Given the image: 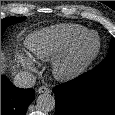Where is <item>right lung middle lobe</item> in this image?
Listing matches in <instances>:
<instances>
[{
	"label": "right lung middle lobe",
	"mask_w": 115,
	"mask_h": 115,
	"mask_svg": "<svg viewBox=\"0 0 115 115\" xmlns=\"http://www.w3.org/2000/svg\"><path fill=\"white\" fill-rule=\"evenodd\" d=\"M25 20V17H8L1 19V33L6 29L8 25L18 23Z\"/></svg>",
	"instance_id": "1"
}]
</instances>
